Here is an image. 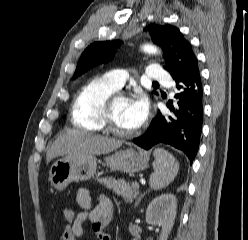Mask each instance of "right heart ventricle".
<instances>
[{"instance_id": "e07e8e85", "label": "right heart ventricle", "mask_w": 248, "mask_h": 240, "mask_svg": "<svg viewBox=\"0 0 248 240\" xmlns=\"http://www.w3.org/2000/svg\"><path fill=\"white\" fill-rule=\"evenodd\" d=\"M117 89L103 77L90 80L78 92L72 106L71 122L76 128L92 132H100L101 112L106 100Z\"/></svg>"}]
</instances>
